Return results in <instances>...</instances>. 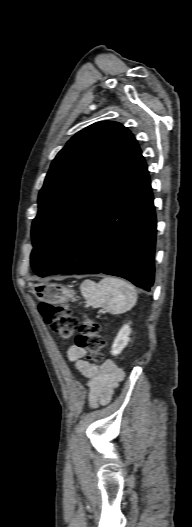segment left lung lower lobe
I'll return each instance as SVG.
<instances>
[{"mask_svg":"<svg viewBox=\"0 0 192 527\" xmlns=\"http://www.w3.org/2000/svg\"><path fill=\"white\" fill-rule=\"evenodd\" d=\"M151 190L141 156L92 211L47 274L103 272L149 291L154 282L156 240Z\"/></svg>","mask_w":192,"mask_h":527,"instance_id":"left-lung-lower-lobe-1","label":"left lung lower lobe"}]
</instances>
